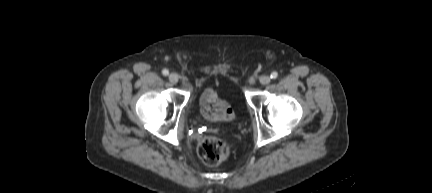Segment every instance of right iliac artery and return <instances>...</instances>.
I'll list each match as a JSON object with an SVG mask.
<instances>
[{
    "label": "right iliac artery",
    "mask_w": 432,
    "mask_h": 193,
    "mask_svg": "<svg viewBox=\"0 0 432 193\" xmlns=\"http://www.w3.org/2000/svg\"><path fill=\"white\" fill-rule=\"evenodd\" d=\"M162 74L165 75V76H167L169 74V71L167 69H163L162 70Z\"/></svg>",
    "instance_id": "82829eb1"
}]
</instances>
